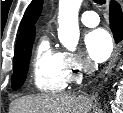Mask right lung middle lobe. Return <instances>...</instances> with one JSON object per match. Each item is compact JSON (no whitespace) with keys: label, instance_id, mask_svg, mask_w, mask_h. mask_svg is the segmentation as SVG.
<instances>
[{"label":"right lung middle lobe","instance_id":"dd1d6c3e","mask_svg":"<svg viewBox=\"0 0 123 113\" xmlns=\"http://www.w3.org/2000/svg\"><path fill=\"white\" fill-rule=\"evenodd\" d=\"M33 42L34 37L16 46L14 53V71L12 75L13 89L20 88L26 79Z\"/></svg>","mask_w":123,"mask_h":113}]
</instances>
